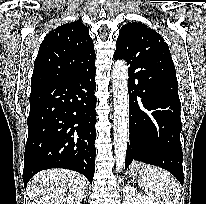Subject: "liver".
Listing matches in <instances>:
<instances>
[{
  "mask_svg": "<svg viewBox=\"0 0 206 204\" xmlns=\"http://www.w3.org/2000/svg\"><path fill=\"white\" fill-rule=\"evenodd\" d=\"M29 204H80L87 194L86 178L66 169H47L27 185Z\"/></svg>",
  "mask_w": 206,
  "mask_h": 204,
  "instance_id": "6515ba94",
  "label": "liver"
}]
</instances>
